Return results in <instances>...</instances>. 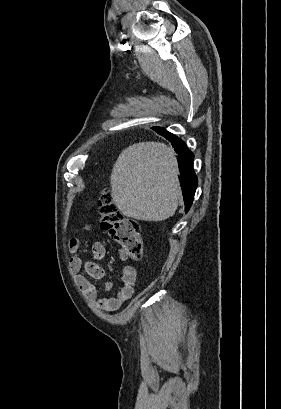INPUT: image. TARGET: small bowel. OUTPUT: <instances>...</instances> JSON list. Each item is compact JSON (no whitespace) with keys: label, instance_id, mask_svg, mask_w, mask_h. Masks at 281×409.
<instances>
[{"label":"small bowel","instance_id":"obj_1","mask_svg":"<svg viewBox=\"0 0 281 409\" xmlns=\"http://www.w3.org/2000/svg\"><path fill=\"white\" fill-rule=\"evenodd\" d=\"M83 228L86 231L92 232V225L89 222H86ZM69 250L73 254L70 260V271L75 275L78 288L90 300L96 301L101 308L107 311H114L131 298L137 278V270L134 267L125 266L123 268L121 285L116 295L110 296L108 293L112 289V281L107 279L104 269L94 262L101 260L105 256L104 246L100 242H94L92 244L91 256L94 261H84L81 258L79 255L80 243L78 239L73 238L69 241ZM121 257L125 258V254L121 253ZM82 269L93 279L104 282L105 295L99 297L96 286L86 277L78 274Z\"/></svg>","mask_w":281,"mask_h":409}]
</instances>
